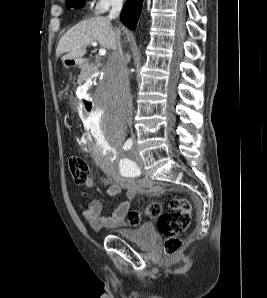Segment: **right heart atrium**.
Masks as SVG:
<instances>
[{
    "label": "right heart atrium",
    "mask_w": 267,
    "mask_h": 298,
    "mask_svg": "<svg viewBox=\"0 0 267 298\" xmlns=\"http://www.w3.org/2000/svg\"><path fill=\"white\" fill-rule=\"evenodd\" d=\"M124 0H93L92 9L96 14L106 13L113 7L120 6Z\"/></svg>",
    "instance_id": "d8ad5b80"
}]
</instances>
